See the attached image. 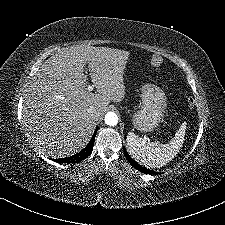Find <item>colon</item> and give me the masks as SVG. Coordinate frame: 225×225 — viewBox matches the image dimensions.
Listing matches in <instances>:
<instances>
[{
    "label": "colon",
    "mask_w": 225,
    "mask_h": 225,
    "mask_svg": "<svg viewBox=\"0 0 225 225\" xmlns=\"http://www.w3.org/2000/svg\"><path fill=\"white\" fill-rule=\"evenodd\" d=\"M151 62H152L153 65L159 66V65L161 64V62H162V59H161L159 56L154 55V56L151 58Z\"/></svg>",
    "instance_id": "colon-1"
}]
</instances>
